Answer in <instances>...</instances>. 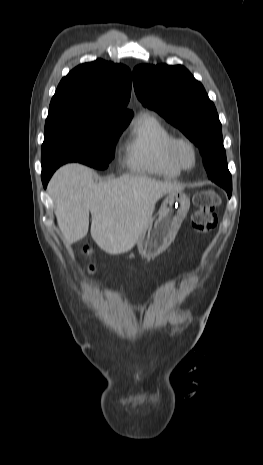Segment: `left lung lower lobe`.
<instances>
[{
	"instance_id": "1",
	"label": "left lung lower lobe",
	"mask_w": 263,
	"mask_h": 465,
	"mask_svg": "<svg viewBox=\"0 0 263 465\" xmlns=\"http://www.w3.org/2000/svg\"><path fill=\"white\" fill-rule=\"evenodd\" d=\"M203 160H204L205 168L207 170L209 178L214 181L216 179L215 167L218 166V161L215 159V157L211 155L203 156Z\"/></svg>"
}]
</instances>
